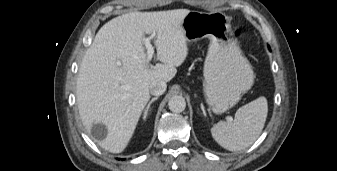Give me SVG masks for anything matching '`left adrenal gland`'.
I'll return each mask as SVG.
<instances>
[{
    "mask_svg": "<svg viewBox=\"0 0 337 171\" xmlns=\"http://www.w3.org/2000/svg\"><path fill=\"white\" fill-rule=\"evenodd\" d=\"M201 109L203 111V115L206 116L205 110H204V106L201 104Z\"/></svg>",
    "mask_w": 337,
    "mask_h": 171,
    "instance_id": "a2214340",
    "label": "left adrenal gland"
}]
</instances>
